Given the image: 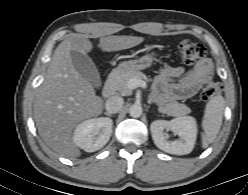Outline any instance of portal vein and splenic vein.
I'll return each instance as SVG.
<instances>
[{"label": "portal vein and splenic vein", "instance_id": "portal-vein-and-splenic-vein-1", "mask_svg": "<svg viewBox=\"0 0 248 195\" xmlns=\"http://www.w3.org/2000/svg\"><path fill=\"white\" fill-rule=\"evenodd\" d=\"M146 84L144 81L133 78L128 81V88L129 89H135L137 87H145Z\"/></svg>", "mask_w": 248, "mask_h": 195}]
</instances>
